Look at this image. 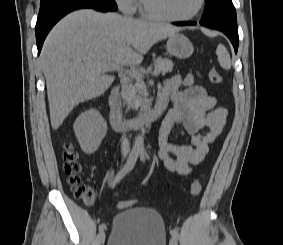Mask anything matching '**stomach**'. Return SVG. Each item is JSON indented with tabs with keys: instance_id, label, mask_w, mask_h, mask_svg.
Wrapping results in <instances>:
<instances>
[{
	"instance_id": "1",
	"label": "stomach",
	"mask_w": 283,
	"mask_h": 245,
	"mask_svg": "<svg viewBox=\"0 0 283 245\" xmlns=\"http://www.w3.org/2000/svg\"><path fill=\"white\" fill-rule=\"evenodd\" d=\"M167 51L179 59L189 58L194 51L190 40L183 34L176 32L169 36L166 44Z\"/></svg>"
}]
</instances>
